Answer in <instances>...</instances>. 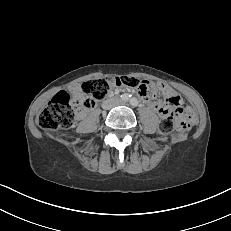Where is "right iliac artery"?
Masks as SVG:
<instances>
[{
  "label": "right iliac artery",
  "instance_id": "82829eb1",
  "mask_svg": "<svg viewBox=\"0 0 231 231\" xmlns=\"http://www.w3.org/2000/svg\"><path fill=\"white\" fill-rule=\"evenodd\" d=\"M130 95L129 94H123V95H121V99L123 100V101H129L130 100Z\"/></svg>",
  "mask_w": 231,
  "mask_h": 231
}]
</instances>
